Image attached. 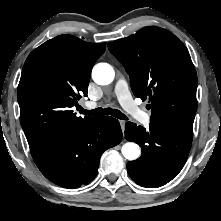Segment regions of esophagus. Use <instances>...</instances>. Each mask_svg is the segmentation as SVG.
<instances>
[{
	"mask_svg": "<svg viewBox=\"0 0 221 221\" xmlns=\"http://www.w3.org/2000/svg\"><path fill=\"white\" fill-rule=\"evenodd\" d=\"M119 122H120V125H121L122 129H124V126H125L126 122L124 120H120Z\"/></svg>",
	"mask_w": 221,
	"mask_h": 221,
	"instance_id": "34e87169",
	"label": "esophagus"
}]
</instances>
